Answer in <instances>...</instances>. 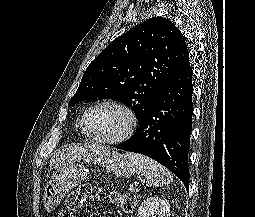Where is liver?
<instances>
[{
  "instance_id": "obj_1",
  "label": "liver",
  "mask_w": 255,
  "mask_h": 217,
  "mask_svg": "<svg viewBox=\"0 0 255 217\" xmlns=\"http://www.w3.org/2000/svg\"><path fill=\"white\" fill-rule=\"evenodd\" d=\"M109 153L110 149L100 144L66 145L53 154L50 169H57L80 160H97Z\"/></svg>"
}]
</instances>
